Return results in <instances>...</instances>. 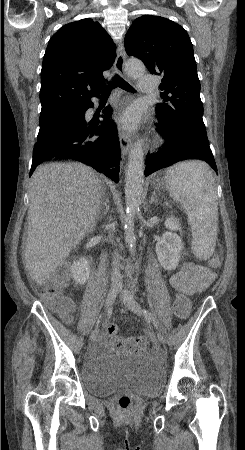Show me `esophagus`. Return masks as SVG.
Returning <instances> with one entry per match:
<instances>
[{"mask_svg": "<svg viewBox=\"0 0 245 450\" xmlns=\"http://www.w3.org/2000/svg\"><path fill=\"white\" fill-rule=\"evenodd\" d=\"M125 59H126V53L124 51L123 44L120 43L118 50H117V56H116L114 66H115L116 72L121 76L125 75V71H124ZM119 140H120V146H121L122 153H123V155L126 156L131 147V138L128 134H126V132H124L123 130H120Z\"/></svg>", "mask_w": 245, "mask_h": 450, "instance_id": "34e87169", "label": "esophagus"}]
</instances>
